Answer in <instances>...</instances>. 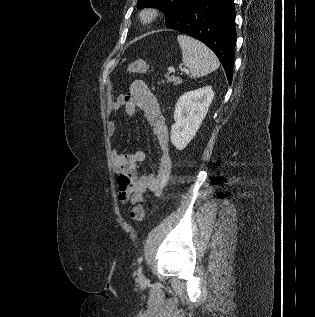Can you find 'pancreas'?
<instances>
[{
    "instance_id": "pancreas-1",
    "label": "pancreas",
    "mask_w": 315,
    "mask_h": 317,
    "mask_svg": "<svg viewBox=\"0 0 315 317\" xmlns=\"http://www.w3.org/2000/svg\"><path fill=\"white\" fill-rule=\"evenodd\" d=\"M167 83L173 82L174 84L180 83V79L175 76H170L169 74L165 75Z\"/></svg>"
}]
</instances>
